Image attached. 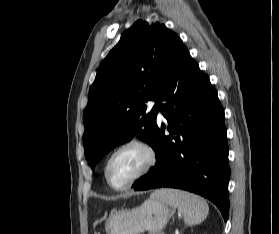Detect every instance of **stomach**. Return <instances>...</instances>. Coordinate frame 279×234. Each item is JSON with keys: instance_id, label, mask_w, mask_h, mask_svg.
<instances>
[{"instance_id": "stomach-1", "label": "stomach", "mask_w": 279, "mask_h": 234, "mask_svg": "<svg viewBox=\"0 0 279 234\" xmlns=\"http://www.w3.org/2000/svg\"><path fill=\"white\" fill-rule=\"evenodd\" d=\"M170 216L171 210L166 203L150 198L139 207L112 212L105 229L107 234H140L143 231L158 234Z\"/></svg>"}]
</instances>
